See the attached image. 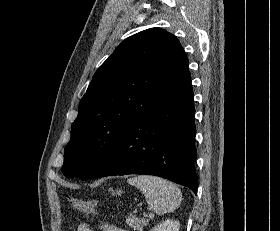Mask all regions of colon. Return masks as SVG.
Masks as SVG:
<instances>
[{
  "label": "colon",
  "instance_id": "colon-1",
  "mask_svg": "<svg viewBox=\"0 0 280 231\" xmlns=\"http://www.w3.org/2000/svg\"><path fill=\"white\" fill-rule=\"evenodd\" d=\"M67 196V200L70 202V204L73 206L74 209H76L79 212L93 215L98 210V203L96 201H88L84 199L74 198L71 196Z\"/></svg>",
  "mask_w": 280,
  "mask_h": 231
}]
</instances>
